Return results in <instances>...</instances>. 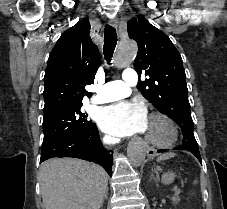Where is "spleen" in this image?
I'll return each mask as SVG.
<instances>
[{
	"label": "spleen",
	"mask_w": 227,
	"mask_h": 209,
	"mask_svg": "<svg viewBox=\"0 0 227 209\" xmlns=\"http://www.w3.org/2000/svg\"><path fill=\"white\" fill-rule=\"evenodd\" d=\"M171 157H175V153H165V155H160L157 161H166V159H171ZM197 181H194V185H196Z\"/></svg>",
	"instance_id": "1"
}]
</instances>
